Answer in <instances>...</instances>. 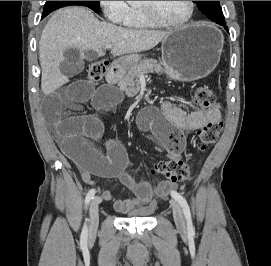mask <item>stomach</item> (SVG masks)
<instances>
[{
  "label": "stomach",
  "instance_id": "0dacf381",
  "mask_svg": "<svg viewBox=\"0 0 271 266\" xmlns=\"http://www.w3.org/2000/svg\"><path fill=\"white\" fill-rule=\"evenodd\" d=\"M224 37L220 30L207 23H191L170 32L162 40L164 72L179 81H194L208 76L218 65ZM141 55L121 58L126 68L138 64Z\"/></svg>",
  "mask_w": 271,
  "mask_h": 266
}]
</instances>
